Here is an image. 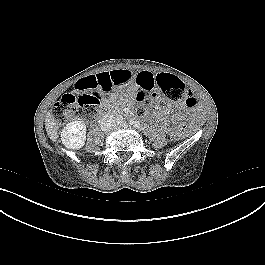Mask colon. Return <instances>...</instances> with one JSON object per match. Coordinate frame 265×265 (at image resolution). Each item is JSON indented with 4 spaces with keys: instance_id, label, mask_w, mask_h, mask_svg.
Returning <instances> with one entry per match:
<instances>
[{
    "instance_id": "obj_1",
    "label": "colon",
    "mask_w": 265,
    "mask_h": 265,
    "mask_svg": "<svg viewBox=\"0 0 265 265\" xmlns=\"http://www.w3.org/2000/svg\"><path fill=\"white\" fill-rule=\"evenodd\" d=\"M162 96L153 94L151 89H143L137 94L138 115L147 113L150 106H160L163 100L182 102L187 111L199 108L196 96L189 93L185 84L176 76L164 72L158 73L154 79ZM113 84L104 76H88L80 79L74 86L76 94H65L52 108L51 116L57 123L66 122L70 118H93L102 100V92L108 91Z\"/></svg>"
}]
</instances>
